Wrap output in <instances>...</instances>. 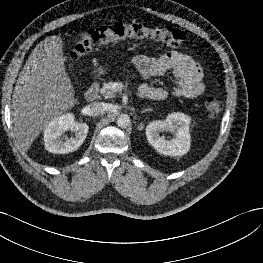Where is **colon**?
Returning <instances> with one entry per match:
<instances>
[{
	"mask_svg": "<svg viewBox=\"0 0 263 263\" xmlns=\"http://www.w3.org/2000/svg\"><path fill=\"white\" fill-rule=\"evenodd\" d=\"M127 38L154 40L174 48L183 47L186 43V35L178 29L117 22L81 33L74 41L72 55L77 58L101 45ZM221 111L222 103L218 99L208 98L206 100L205 112L209 118L217 117Z\"/></svg>",
	"mask_w": 263,
	"mask_h": 263,
	"instance_id": "5ec220e1",
	"label": "colon"
}]
</instances>
